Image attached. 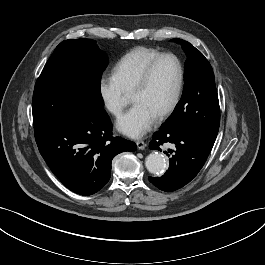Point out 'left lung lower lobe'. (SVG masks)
Here are the masks:
<instances>
[{
  "label": "left lung lower lobe",
  "instance_id": "1",
  "mask_svg": "<svg viewBox=\"0 0 265 265\" xmlns=\"http://www.w3.org/2000/svg\"><path fill=\"white\" fill-rule=\"evenodd\" d=\"M152 139L150 149L161 151L160 145L163 143L175 146V150H168L172 157L167 172L161 177L148 178L154 186L167 192L189 183L201 170L212 149L198 135L183 130H159Z\"/></svg>",
  "mask_w": 265,
  "mask_h": 265
}]
</instances>
